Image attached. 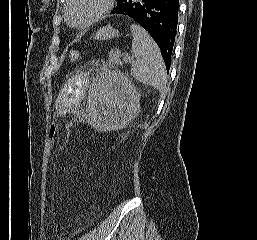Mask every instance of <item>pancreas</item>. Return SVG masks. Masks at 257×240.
Segmentation results:
<instances>
[{
	"label": "pancreas",
	"instance_id": "cf45deb5",
	"mask_svg": "<svg viewBox=\"0 0 257 240\" xmlns=\"http://www.w3.org/2000/svg\"><path fill=\"white\" fill-rule=\"evenodd\" d=\"M109 63L112 65H122V62L120 60V54L115 51H110L109 53Z\"/></svg>",
	"mask_w": 257,
	"mask_h": 240
}]
</instances>
